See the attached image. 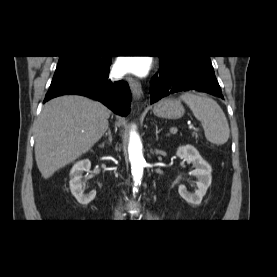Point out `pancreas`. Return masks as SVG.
Instances as JSON below:
<instances>
[{"label": "pancreas", "mask_w": 277, "mask_h": 277, "mask_svg": "<svg viewBox=\"0 0 277 277\" xmlns=\"http://www.w3.org/2000/svg\"><path fill=\"white\" fill-rule=\"evenodd\" d=\"M193 135H194L195 137H197V134L194 133Z\"/></svg>", "instance_id": "1"}]
</instances>
